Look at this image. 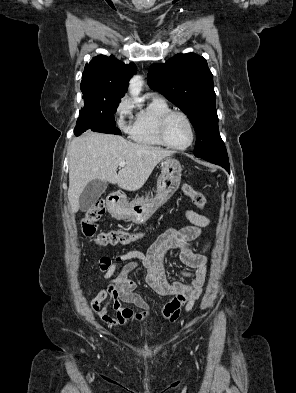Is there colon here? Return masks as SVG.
Masks as SVG:
<instances>
[{
    "instance_id": "5ec220e1",
    "label": "colon",
    "mask_w": 296,
    "mask_h": 393,
    "mask_svg": "<svg viewBox=\"0 0 296 393\" xmlns=\"http://www.w3.org/2000/svg\"><path fill=\"white\" fill-rule=\"evenodd\" d=\"M183 192L188 196L193 204L199 208H204L206 204L205 196L196 191L191 185H184ZM105 214V202L98 201L81 221V230L83 235L99 246L128 244L138 238L137 235L123 230H109L98 232L97 222Z\"/></svg>"
}]
</instances>
